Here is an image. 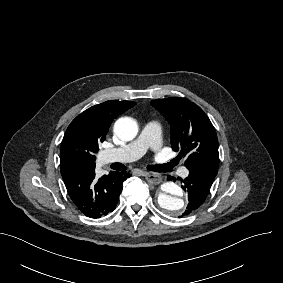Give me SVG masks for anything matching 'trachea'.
I'll use <instances>...</instances> for the list:
<instances>
[{"instance_id": "3493384b", "label": "trachea", "mask_w": 283, "mask_h": 283, "mask_svg": "<svg viewBox=\"0 0 283 283\" xmlns=\"http://www.w3.org/2000/svg\"><path fill=\"white\" fill-rule=\"evenodd\" d=\"M173 168L172 165H170L169 163L167 164H161V165H154V166H150L149 169L150 170H154L156 172H168Z\"/></svg>"}]
</instances>
